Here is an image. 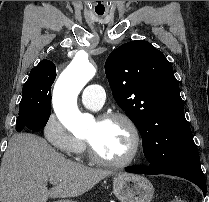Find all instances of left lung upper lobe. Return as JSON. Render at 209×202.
<instances>
[{
	"instance_id": "obj_1",
	"label": "left lung upper lobe",
	"mask_w": 209,
	"mask_h": 202,
	"mask_svg": "<svg viewBox=\"0 0 209 202\" xmlns=\"http://www.w3.org/2000/svg\"><path fill=\"white\" fill-rule=\"evenodd\" d=\"M105 72L114 99L141 134L151 167H169L196 147L173 67L160 50L130 41L111 52Z\"/></svg>"
}]
</instances>
